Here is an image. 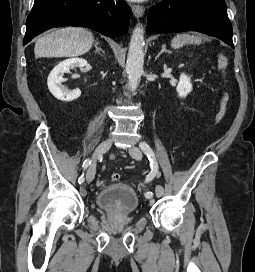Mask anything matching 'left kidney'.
<instances>
[{"label": "left kidney", "mask_w": 255, "mask_h": 272, "mask_svg": "<svg viewBox=\"0 0 255 272\" xmlns=\"http://www.w3.org/2000/svg\"><path fill=\"white\" fill-rule=\"evenodd\" d=\"M176 91L179 97H186L192 91L190 77L182 73Z\"/></svg>", "instance_id": "obj_1"}]
</instances>
